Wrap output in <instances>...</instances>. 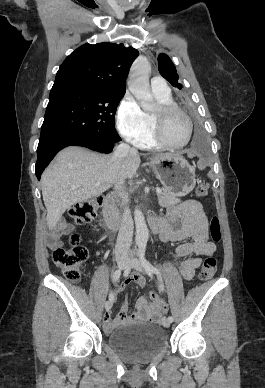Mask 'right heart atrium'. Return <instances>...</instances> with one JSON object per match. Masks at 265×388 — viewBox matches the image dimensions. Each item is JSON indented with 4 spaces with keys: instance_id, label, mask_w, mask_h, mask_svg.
Returning <instances> with one entry per match:
<instances>
[{
    "instance_id": "obj_1",
    "label": "right heart atrium",
    "mask_w": 265,
    "mask_h": 388,
    "mask_svg": "<svg viewBox=\"0 0 265 388\" xmlns=\"http://www.w3.org/2000/svg\"><path fill=\"white\" fill-rule=\"evenodd\" d=\"M121 133L130 140L141 138L148 130L149 119L139 103L131 95H126L117 112Z\"/></svg>"
}]
</instances>
